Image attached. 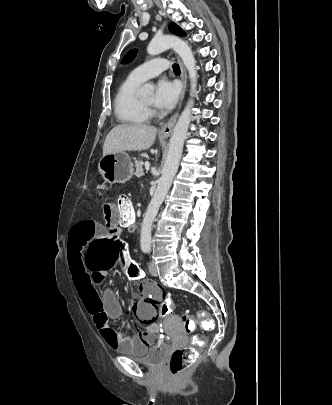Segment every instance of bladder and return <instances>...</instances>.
Returning <instances> with one entry per match:
<instances>
[{"label": "bladder", "instance_id": "bladder-1", "mask_svg": "<svg viewBox=\"0 0 332 405\" xmlns=\"http://www.w3.org/2000/svg\"><path fill=\"white\" fill-rule=\"evenodd\" d=\"M167 345L165 343H156L149 347H144L142 352L137 353L131 348L119 349L118 351L132 359L149 366L159 365L167 355Z\"/></svg>", "mask_w": 332, "mask_h": 405}]
</instances>
